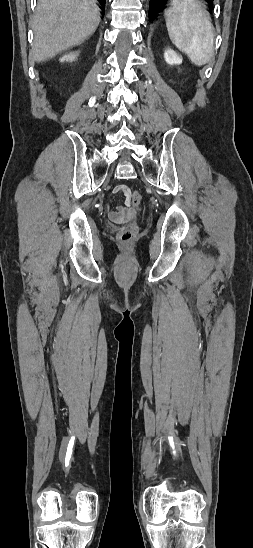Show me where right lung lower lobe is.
I'll list each match as a JSON object with an SVG mask.
<instances>
[{
  "label": "right lung lower lobe",
  "instance_id": "1",
  "mask_svg": "<svg viewBox=\"0 0 253 548\" xmlns=\"http://www.w3.org/2000/svg\"><path fill=\"white\" fill-rule=\"evenodd\" d=\"M99 2L101 3L102 8L104 9L105 8V0H99Z\"/></svg>",
  "mask_w": 253,
  "mask_h": 548
}]
</instances>
